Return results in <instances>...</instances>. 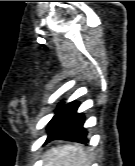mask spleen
I'll list each match as a JSON object with an SVG mask.
<instances>
[{"label": "spleen", "mask_w": 135, "mask_h": 166, "mask_svg": "<svg viewBox=\"0 0 135 166\" xmlns=\"http://www.w3.org/2000/svg\"><path fill=\"white\" fill-rule=\"evenodd\" d=\"M44 166H89V160L82 147L63 145L46 152Z\"/></svg>", "instance_id": "1"}]
</instances>
